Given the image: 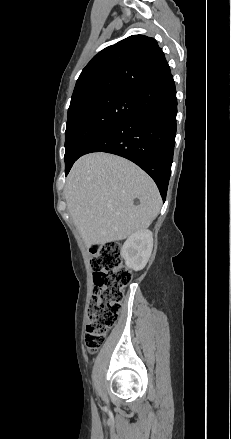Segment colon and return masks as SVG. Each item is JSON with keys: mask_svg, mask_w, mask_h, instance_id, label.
I'll use <instances>...</instances> for the list:
<instances>
[{"mask_svg": "<svg viewBox=\"0 0 231 439\" xmlns=\"http://www.w3.org/2000/svg\"><path fill=\"white\" fill-rule=\"evenodd\" d=\"M92 255L95 291L90 303L85 344L90 353H95L118 319L131 274L123 264L120 247L115 243L96 245L92 248Z\"/></svg>", "mask_w": 231, "mask_h": 439, "instance_id": "1", "label": "colon"}]
</instances>
